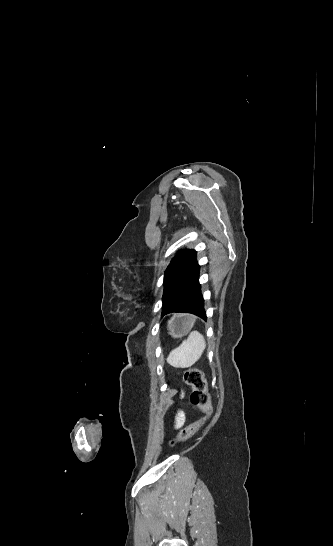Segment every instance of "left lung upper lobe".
I'll list each match as a JSON object with an SVG mask.
<instances>
[{
	"label": "left lung upper lobe",
	"instance_id": "1",
	"mask_svg": "<svg viewBox=\"0 0 333 546\" xmlns=\"http://www.w3.org/2000/svg\"><path fill=\"white\" fill-rule=\"evenodd\" d=\"M196 260V251L195 250H183L180 251L168 265L165 274H164V293H163V302L166 295V292L171 285L172 281L177 277V275L190 263Z\"/></svg>",
	"mask_w": 333,
	"mask_h": 546
}]
</instances>
